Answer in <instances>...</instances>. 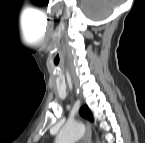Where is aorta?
Masks as SVG:
<instances>
[{
  "label": "aorta",
  "mask_w": 145,
  "mask_h": 143,
  "mask_svg": "<svg viewBox=\"0 0 145 143\" xmlns=\"http://www.w3.org/2000/svg\"><path fill=\"white\" fill-rule=\"evenodd\" d=\"M85 132V126L81 122L66 124L59 132L56 141L58 143H75Z\"/></svg>",
  "instance_id": "762f6f07"
}]
</instances>
